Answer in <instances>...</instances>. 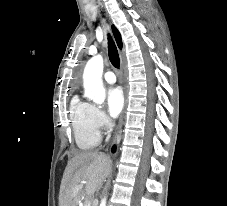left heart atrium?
Segmentation results:
<instances>
[{
	"label": "left heart atrium",
	"instance_id": "obj_1",
	"mask_svg": "<svg viewBox=\"0 0 227 206\" xmlns=\"http://www.w3.org/2000/svg\"><path fill=\"white\" fill-rule=\"evenodd\" d=\"M124 106V96L120 87H112L107 91V108L111 117H116Z\"/></svg>",
	"mask_w": 227,
	"mask_h": 206
}]
</instances>
